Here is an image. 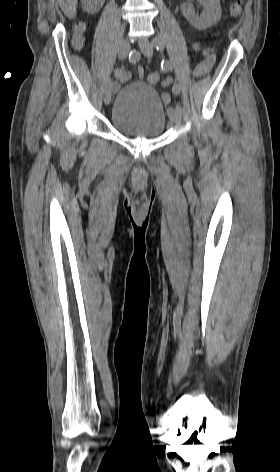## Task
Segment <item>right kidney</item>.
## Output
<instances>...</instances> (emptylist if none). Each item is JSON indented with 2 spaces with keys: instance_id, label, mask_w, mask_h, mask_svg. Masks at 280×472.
Instances as JSON below:
<instances>
[{
  "instance_id": "right-kidney-1",
  "label": "right kidney",
  "mask_w": 280,
  "mask_h": 472,
  "mask_svg": "<svg viewBox=\"0 0 280 472\" xmlns=\"http://www.w3.org/2000/svg\"><path fill=\"white\" fill-rule=\"evenodd\" d=\"M104 0H82V8L88 13H96L100 10Z\"/></svg>"
}]
</instances>
